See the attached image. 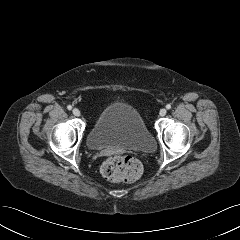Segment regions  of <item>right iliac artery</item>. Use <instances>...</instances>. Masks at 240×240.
Masks as SVG:
<instances>
[{
    "instance_id": "82829eb1",
    "label": "right iliac artery",
    "mask_w": 240,
    "mask_h": 240,
    "mask_svg": "<svg viewBox=\"0 0 240 240\" xmlns=\"http://www.w3.org/2000/svg\"><path fill=\"white\" fill-rule=\"evenodd\" d=\"M67 109H68V110H71V109H72V106H71V105H68V106H67Z\"/></svg>"
}]
</instances>
